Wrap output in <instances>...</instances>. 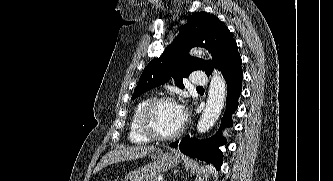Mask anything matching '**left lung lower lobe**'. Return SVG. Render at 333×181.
<instances>
[{
  "mask_svg": "<svg viewBox=\"0 0 333 181\" xmlns=\"http://www.w3.org/2000/svg\"><path fill=\"white\" fill-rule=\"evenodd\" d=\"M218 69L222 72L228 85L226 110L221 121L220 131L222 128L232 125L231 115L238 107V98L242 90L243 73L237 45L218 66ZM225 143L226 140L220 138L218 134L205 140L190 139L189 136H186L180 142L179 148L184 154L192 158L214 163L219 169L220 165H222V153L219 150V146ZM170 146L177 147L178 141L171 143Z\"/></svg>",
  "mask_w": 333,
  "mask_h": 181,
  "instance_id": "1",
  "label": "left lung lower lobe"
}]
</instances>
